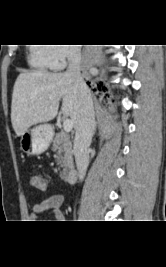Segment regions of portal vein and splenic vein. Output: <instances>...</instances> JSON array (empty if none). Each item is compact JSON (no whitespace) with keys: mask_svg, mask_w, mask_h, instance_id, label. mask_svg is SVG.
Listing matches in <instances>:
<instances>
[{"mask_svg":"<svg viewBox=\"0 0 166 267\" xmlns=\"http://www.w3.org/2000/svg\"><path fill=\"white\" fill-rule=\"evenodd\" d=\"M73 128V122L71 119H65L63 121V129L66 133L70 132Z\"/></svg>","mask_w":166,"mask_h":267,"instance_id":"obj_1","label":"portal vein and splenic vein"}]
</instances>
